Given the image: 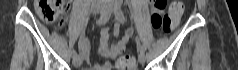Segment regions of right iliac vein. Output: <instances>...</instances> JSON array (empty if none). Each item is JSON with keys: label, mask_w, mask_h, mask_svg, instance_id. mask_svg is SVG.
I'll return each instance as SVG.
<instances>
[{"label": "right iliac vein", "mask_w": 238, "mask_h": 70, "mask_svg": "<svg viewBox=\"0 0 238 70\" xmlns=\"http://www.w3.org/2000/svg\"><path fill=\"white\" fill-rule=\"evenodd\" d=\"M104 10V7L100 4H94L92 6V11L94 14H99L101 13L102 11ZM72 62H73V65L75 67H79L82 63V58L80 56H74L73 59H72Z\"/></svg>", "instance_id": "right-iliac-vein-1"}]
</instances>
